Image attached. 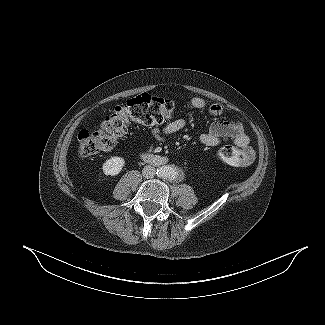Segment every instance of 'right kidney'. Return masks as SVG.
Returning <instances> with one entry per match:
<instances>
[{
	"label": "right kidney",
	"mask_w": 325,
	"mask_h": 325,
	"mask_svg": "<svg viewBox=\"0 0 325 325\" xmlns=\"http://www.w3.org/2000/svg\"><path fill=\"white\" fill-rule=\"evenodd\" d=\"M125 165L122 157L114 156L103 163L102 169L104 174L115 176L118 175Z\"/></svg>",
	"instance_id": "obj_1"
}]
</instances>
